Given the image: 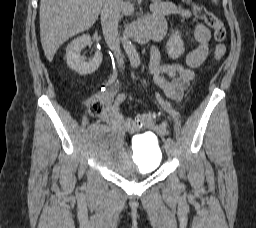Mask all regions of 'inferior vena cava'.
Returning <instances> with one entry per match:
<instances>
[{"label":"inferior vena cava","instance_id":"obj_1","mask_svg":"<svg viewBox=\"0 0 256 228\" xmlns=\"http://www.w3.org/2000/svg\"><path fill=\"white\" fill-rule=\"evenodd\" d=\"M121 0H104V7L101 13V25L105 41L114 52L119 67L123 65V58L120 50V39L118 34V22L120 17Z\"/></svg>","mask_w":256,"mask_h":228}]
</instances>
